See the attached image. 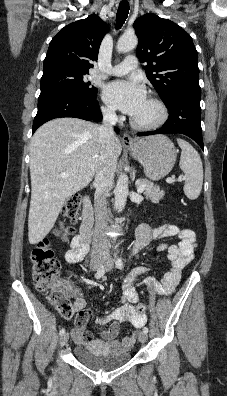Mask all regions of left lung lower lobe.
Here are the masks:
<instances>
[{
    "label": "left lung lower lobe",
    "mask_w": 227,
    "mask_h": 396,
    "mask_svg": "<svg viewBox=\"0 0 227 396\" xmlns=\"http://www.w3.org/2000/svg\"><path fill=\"white\" fill-rule=\"evenodd\" d=\"M201 91L183 90L174 93L164 102L169 109V118L159 129L151 132H140L138 136L154 134L179 133L192 138L204 149L201 129Z\"/></svg>",
    "instance_id": "1"
}]
</instances>
